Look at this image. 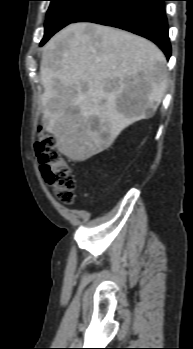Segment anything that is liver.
I'll use <instances>...</instances> for the list:
<instances>
[{"mask_svg":"<svg viewBox=\"0 0 193 349\" xmlns=\"http://www.w3.org/2000/svg\"><path fill=\"white\" fill-rule=\"evenodd\" d=\"M40 76L45 129L62 154L84 161L109 148L126 127L154 114L167 69L162 51L145 38L73 23L44 46Z\"/></svg>","mask_w":193,"mask_h":349,"instance_id":"1","label":"liver"}]
</instances>
